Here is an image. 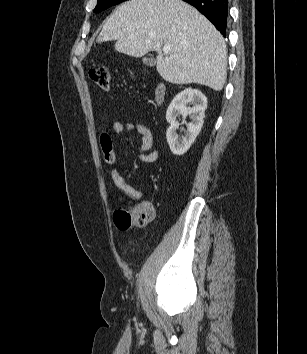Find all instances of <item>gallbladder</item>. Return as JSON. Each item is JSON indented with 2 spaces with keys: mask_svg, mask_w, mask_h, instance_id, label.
<instances>
[{
  "mask_svg": "<svg viewBox=\"0 0 307 354\" xmlns=\"http://www.w3.org/2000/svg\"><path fill=\"white\" fill-rule=\"evenodd\" d=\"M145 63H146L148 66H154V65H155V59L152 58V57L146 58V59H145Z\"/></svg>",
  "mask_w": 307,
  "mask_h": 354,
  "instance_id": "obj_1",
  "label": "gallbladder"
}]
</instances>
